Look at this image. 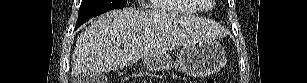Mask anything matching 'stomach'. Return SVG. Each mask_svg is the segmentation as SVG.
<instances>
[{"mask_svg":"<svg viewBox=\"0 0 307 83\" xmlns=\"http://www.w3.org/2000/svg\"><path fill=\"white\" fill-rule=\"evenodd\" d=\"M225 61V50L216 41L201 40L183 46L177 60L173 62L166 54L144 58V65L151 71H164L176 68L193 77L209 76L217 72Z\"/></svg>","mask_w":307,"mask_h":83,"instance_id":"1","label":"stomach"}]
</instances>
